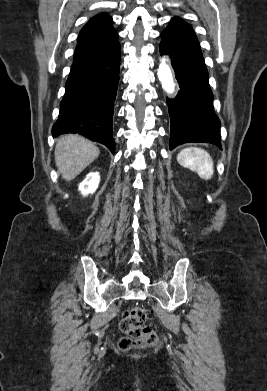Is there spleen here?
Wrapping results in <instances>:
<instances>
[{
	"label": "spleen",
	"instance_id": "3e777b00",
	"mask_svg": "<svg viewBox=\"0 0 267 391\" xmlns=\"http://www.w3.org/2000/svg\"><path fill=\"white\" fill-rule=\"evenodd\" d=\"M177 159L179 163L192 171L204 180H210L214 173V165L211 156L201 148H186L179 152Z\"/></svg>",
	"mask_w": 267,
	"mask_h": 391
}]
</instances>
